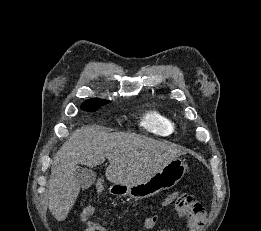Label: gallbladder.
<instances>
[{"instance_id": "gallbladder-1", "label": "gallbladder", "mask_w": 261, "mask_h": 231, "mask_svg": "<svg viewBox=\"0 0 261 231\" xmlns=\"http://www.w3.org/2000/svg\"><path fill=\"white\" fill-rule=\"evenodd\" d=\"M75 176L83 190L88 189L96 180L95 172L86 167H78Z\"/></svg>"}]
</instances>
